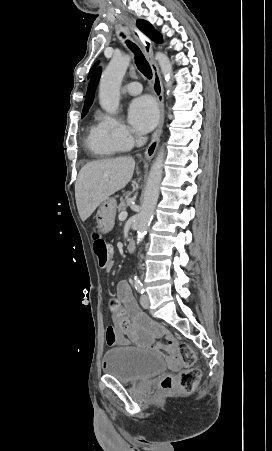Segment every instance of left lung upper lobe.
<instances>
[{
	"mask_svg": "<svg viewBox=\"0 0 272 451\" xmlns=\"http://www.w3.org/2000/svg\"><path fill=\"white\" fill-rule=\"evenodd\" d=\"M137 27L147 35L151 40L156 43L162 42V36L154 29V27L145 20H138ZM96 66V64L92 67V69Z\"/></svg>",
	"mask_w": 272,
	"mask_h": 451,
	"instance_id": "5c2ea615",
	"label": "left lung upper lobe"
}]
</instances>
